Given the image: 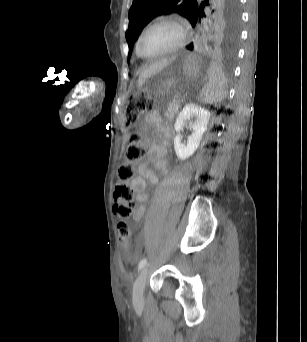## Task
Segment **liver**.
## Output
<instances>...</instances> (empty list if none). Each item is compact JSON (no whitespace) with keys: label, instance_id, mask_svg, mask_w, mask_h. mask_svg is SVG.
Here are the masks:
<instances>
[{"label":"liver","instance_id":"liver-1","mask_svg":"<svg viewBox=\"0 0 307 342\" xmlns=\"http://www.w3.org/2000/svg\"><path fill=\"white\" fill-rule=\"evenodd\" d=\"M174 60V58H172ZM171 60L168 58H164V60H159V62H154V64H150L142 74H140V78L138 80V86H143L146 78H150V76H154L157 72H161L163 68H166L168 64H170Z\"/></svg>","mask_w":307,"mask_h":342}]
</instances>
